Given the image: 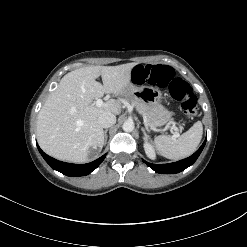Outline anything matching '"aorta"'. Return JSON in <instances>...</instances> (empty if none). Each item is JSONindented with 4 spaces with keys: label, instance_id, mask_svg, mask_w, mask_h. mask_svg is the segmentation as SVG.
I'll return each mask as SVG.
<instances>
[{
    "label": "aorta",
    "instance_id": "762f6f07",
    "mask_svg": "<svg viewBox=\"0 0 247 247\" xmlns=\"http://www.w3.org/2000/svg\"><path fill=\"white\" fill-rule=\"evenodd\" d=\"M122 129L125 132H132L134 130V123H133V121H126V122H124L123 125H122Z\"/></svg>",
    "mask_w": 247,
    "mask_h": 247
}]
</instances>
